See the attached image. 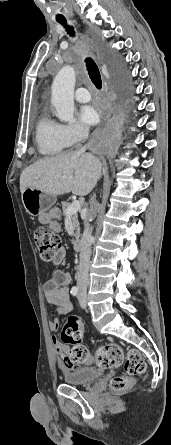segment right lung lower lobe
<instances>
[{"label": "right lung lower lobe", "instance_id": "obj_1", "mask_svg": "<svg viewBox=\"0 0 171 445\" xmlns=\"http://www.w3.org/2000/svg\"><path fill=\"white\" fill-rule=\"evenodd\" d=\"M117 86H116V108L113 120L108 125L106 132L102 134H96L91 142V150L101 157H113L118 149L117 145V135L119 134V129L124 123L125 117V99L127 97V85L123 74L117 72Z\"/></svg>", "mask_w": 171, "mask_h": 445}]
</instances>
